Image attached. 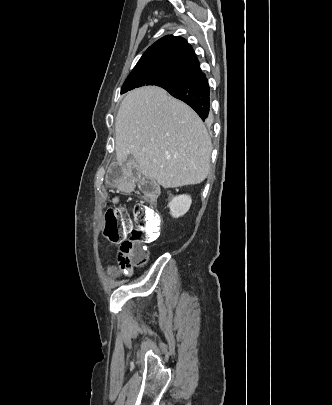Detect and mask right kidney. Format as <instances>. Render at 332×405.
Masks as SVG:
<instances>
[{
	"label": "right kidney",
	"mask_w": 332,
	"mask_h": 405,
	"mask_svg": "<svg viewBox=\"0 0 332 405\" xmlns=\"http://www.w3.org/2000/svg\"><path fill=\"white\" fill-rule=\"evenodd\" d=\"M192 199L189 195H178L172 198L168 207L170 209V214L173 218H179L186 214L190 209Z\"/></svg>",
	"instance_id": "1"
}]
</instances>
